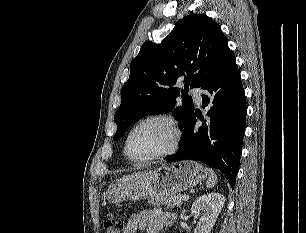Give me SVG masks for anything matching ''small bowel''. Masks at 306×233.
<instances>
[{
	"label": "small bowel",
	"instance_id": "obj_1",
	"mask_svg": "<svg viewBox=\"0 0 306 233\" xmlns=\"http://www.w3.org/2000/svg\"><path fill=\"white\" fill-rule=\"evenodd\" d=\"M176 221V215L161 209H144L132 214L125 226L124 233H160L163 227H170Z\"/></svg>",
	"mask_w": 306,
	"mask_h": 233
}]
</instances>
